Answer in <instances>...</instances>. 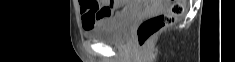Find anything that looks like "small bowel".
<instances>
[{"label": "small bowel", "instance_id": "1", "mask_svg": "<svg viewBox=\"0 0 235 62\" xmlns=\"http://www.w3.org/2000/svg\"><path fill=\"white\" fill-rule=\"evenodd\" d=\"M82 24L85 30L94 29L106 23L113 12L124 5L122 0H100L97 4L81 1Z\"/></svg>", "mask_w": 235, "mask_h": 62}]
</instances>
